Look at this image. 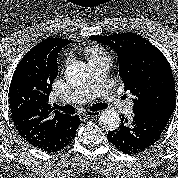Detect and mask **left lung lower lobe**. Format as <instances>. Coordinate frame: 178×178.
Listing matches in <instances>:
<instances>
[{"label": "left lung lower lobe", "instance_id": "0a47b994", "mask_svg": "<svg viewBox=\"0 0 178 178\" xmlns=\"http://www.w3.org/2000/svg\"><path fill=\"white\" fill-rule=\"evenodd\" d=\"M173 112L145 109L127 120L122 116L120 127L108 132V141L126 154H135L154 144Z\"/></svg>", "mask_w": 178, "mask_h": 178}]
</instances>
